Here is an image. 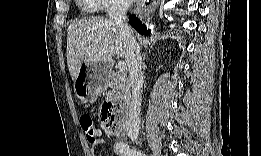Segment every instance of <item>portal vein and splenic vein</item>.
Masks as SVG:
<instances>
[{"instance_id": "obj_1", "label": "portal vein and splenic vein", "mask_w": 261, "mask_h": 156, "mask_svg": "<svg viewBox=\"0 0 261 156\" xmlns=\"http://www.w3.org/2000/svg\"><path fill=\"white\" fill-rule=\"evenodd\" d=\"M118 68L120 71H124L126 69V63L124 61H119Z\"/></svg>"}]
</instances>
